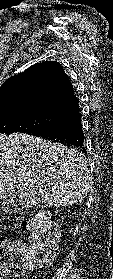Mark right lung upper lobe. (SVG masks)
Returning <instances> with one entry per match:
<instances>
[{"instance_id":"cb5924a9","label":"right lung upper lobe","mask_w":113,"mask_h":279,"mask_svg":"<svg viewBox=\"0 0 113 279\" xmlns=\"http://www.w3.org/2000/svg\"><path fill=\"white\" fill-rule=\"evenodd\" d=\"M78 107L73 85L57 61L32 65L0 86V110L53 108L70 112Z\"/></svg>"}]
</instances>
